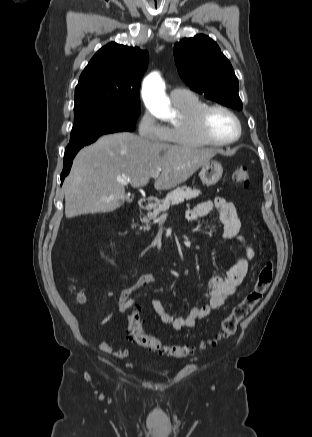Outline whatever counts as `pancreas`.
Instances as JSON below:
<instances>
[{
    "instance_id": "cf45deb5",
    "label": "pancreas",
    "mask_w": 312,
    "mask_h": 437,
    "mask_svg": "<svg viewBox=\"0 0 312 437\" xmlns=\"http://www.w3.org/2000/svg\"><path fill=\"white\" fill-rule=\"evenodd\" d=\"M201 192L197 189H191L188 187H179L169 192L165 199H163L153 212H148L147 217L143 219L145 223L144 230H149L150 220H155L162 212L167 211L170 206L183 203L184 200H191L199 196Z\"/></svg>"
}]
</instances>
